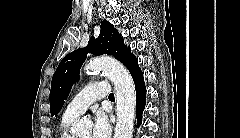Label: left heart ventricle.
Listing matches in <instances>:
<instances>
[{"label":"left heart ventricle","mask_w":240,"mask_h":138,"mask_svg":"<svg viewBox=\"0 0 240 138\" xmlns=\"http://www.w3.org/2000/svg\"><path fill=\"white\" fill-rule=\"evenodd\" d=\"M80 138H90V133H86V134H84L83 137H80Z\"/></svg>","instance_id":"left-heart-ventricle-1"}]
</instances>
